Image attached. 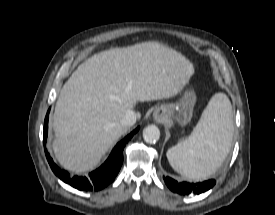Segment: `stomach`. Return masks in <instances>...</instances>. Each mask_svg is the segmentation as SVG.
Returning <instances> with one entry per match:
<instances>
[{
    "label": "stomach",
    "instance_id": "obj_1",
    "mask_svg": "<svg viewBox=\"0 0 275 215\" xmlns=\"http://www.w3.org/2000/svg\"><path fill=\"white\" fill-rule=\"evenodd\" d=\"M195 103V92L191 89L187 90L179 102L168 106V115L176 118L180 124L184 125L191 119Z\"/></svg>",
    "mask_w": 275,
    "mask_h": 215
}]
</instances>
